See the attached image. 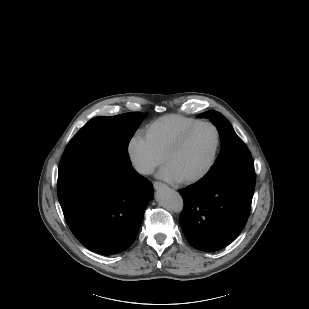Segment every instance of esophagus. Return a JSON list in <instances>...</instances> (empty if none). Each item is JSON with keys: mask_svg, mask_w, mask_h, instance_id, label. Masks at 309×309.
<instances>
[{"mask_svg": "<svg viewBox=\"0 0 309 309\" xmlns=\"http://www.w3.org/2000/svg\"><path fill=\"white\" fill-rule=\"evenodd\" d=\"M153 186H154V188L157 190V189H159L160 187L164 186V183L159 182V181H155V182L153 183Z\"/></svg>", "mask_w": 309, "mask_h": 309, "instance_id": "obj_1", "label": "esophagus"}]
</instances>
